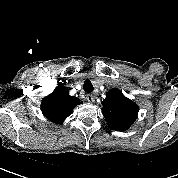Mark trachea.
<instances>
[{
  "label": "trachea",
  "instance_id": "3493384b",
  "mask_svg": "<svg viewBox=\"0 0 178 178\" xmlns=\"http://www.w3.org/2000/svg\"><path fill=\"white\" fill-rule=\"evenodd\" d=\"M83 88L87 93H90L94 90L92 82L88 79L84 81Z\"/></svg>",
  "mask_w": 178,
  "mask_h": 178
}]
</instances>
